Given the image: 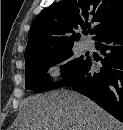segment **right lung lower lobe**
Returning a JSON list of instances; mask_svg holds the SVG:
<instances>
[{
  "label": "right lung lower lobe",
  "mask_w": 123,
  "mask_h": 130,
  "mask_svg": "<svg viewBox=\"0 0 123 130\" xmlns=\"http://www.w3.org/2000/svg\"><path fill=\"white\" fill-rule=\"evenodd\" d=\"M96 40V47L105 56L100 72L95 71V62L88 57L63 85L72 86L123 122V25Z\"/></svg>",
  "instance_id": "98d812e1"
}]
</instances>
